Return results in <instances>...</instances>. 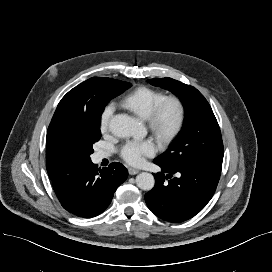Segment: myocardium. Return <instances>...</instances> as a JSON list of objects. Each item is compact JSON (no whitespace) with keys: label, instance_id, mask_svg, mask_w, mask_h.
<instances>
[{"label":"myocardium","instance_id":"1","mask_svg":"<svg viewBox=\"0 0 272 272\" xmlns=\"http://www.w3.org/2000/svg\"><path fill=\"white\" fill-rule=\"evenodd\" d=\"M171 107L173 114L170 120L165 121V111ZM185 119V106L176 95L164 96L154 107L147 118L152 133L162 141L172 139L181 129Z\"/></svg>","mask_w":272,"mask_h":272}]
</instances>
